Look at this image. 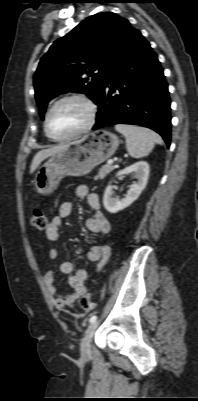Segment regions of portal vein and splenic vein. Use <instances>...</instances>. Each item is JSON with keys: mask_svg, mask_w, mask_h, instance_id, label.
<instances>
[{"mask_svg": "<svg viewBox=\"0 0 198 401\" xmlns=\"http://www.w3.org/2000/svg\"><path fill=\"white\" fill-rule=\"evenodd\" d=\"M108 163H109V164H112V163H113V160H108Z\"/></svg>", "mask_w": 198, "mask_h": 401, "instance_id": "1", "label": "portal vein and splenic vein"}]
</instances>
